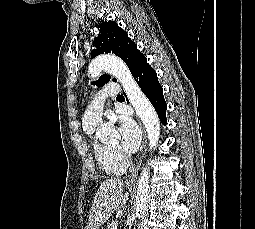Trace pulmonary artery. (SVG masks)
I'll return each mask as SVG.
<instances>
[{
  "instance_id": "1",
  "label": "pulmonary artery",
  "mask_w": 255,
  "mask_h": 229,
  "mask_svg": "<svg viewBox=\"0 0 255 229\" xmlns=\"http://www.w3.org/2000/svg\"><path fill=\"white\" fill-rule=\"evenodd\" d=\"M119 92L120 88L117 84H107L103 90L97 92L85 111L84 124L98 125L101 122L106 98L117 96Z\"/></svg>"
}]
</instances>
